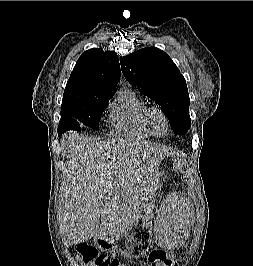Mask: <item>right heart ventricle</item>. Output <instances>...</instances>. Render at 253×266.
Wrapping results in <instances>:
<instances>
[{"instance_id": "right-heart-ventricle-1", "label": "right heart ventricle", "mask_w": 253, "mask_h": 266, "mask_svg": "<svg viewBox=\"0 0 253 266\" xmlns=\"http://www.w3.org/2000/svg\"><path fill=\"white\" fill-rule=\"evenodd\" d=\"M145 103L131 90H122L110 112V122L115 130L123 136L134 139H147L151 136L145 122Z\"/></svg>"}]
</instances>
